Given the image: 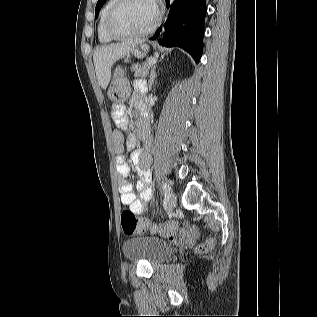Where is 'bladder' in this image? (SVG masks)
<instances>
[{
	"label": "bladder",
	"instance_id": "31cf9c89",
	"mask_svg": "<svg viewBox=\"0 0 317 317\" xmlns=\"http://www.w3.org/2000/svg\"><path fill=\"white\" fill-rule=\"evenodd\" d=\"M123 252L130 260H145L153 264L169 258L173 253V248L165 240L150 236H137L124 242Z\"/></svg>",
	"mask_w": 317,
	"mask_h": 317
}]
</instances>
